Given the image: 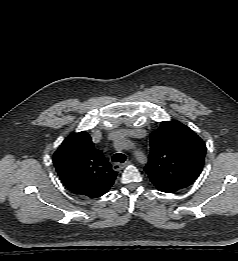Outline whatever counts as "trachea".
Segmentation results:
<instances>
[{
  "label": "trachea",
  "mask_w": 238,
  "mask_h": 261,
  "mask_svg": "<svg viewBox=\"0 0 238 261\" xmlns=\"http://www.w3.org/2000/svg\"><path fill=\"white\" fill-rule=\"evenodd\" d=\"M126 160V156L122 153H116L112 156L113 162H120L123 163Z\"/></svg>",
  "instance_id": "1"
}]
</instances>
